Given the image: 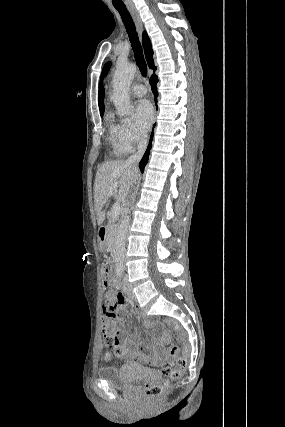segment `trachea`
Instances as JSON below:
<instances>
[{
  "instance_id": "1",
  "label": "trachea",
  "mask_w": 285,
  "mask_h": 427,
  "mask_svg": "<svg viewBox=\"0 0 285 427\" xmlns=\"http://www.w3.org/2000/svg\"><path fill=\"white\" fill-rule=\"evenodd\" d=\"M116 10L119 12L124 26L126 28V31L128 33V37L134 52V57L136 60V63L139 67V70L141 74L146 77L147 76V64L144 58L143 50L141 43L139 41V37L136 31L135 24L133 22V19L126 7H115Z\"/></svg>"
}]
</instances>
